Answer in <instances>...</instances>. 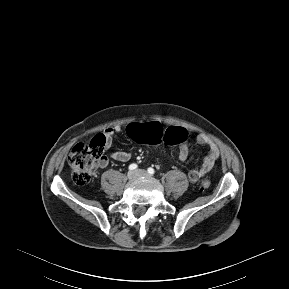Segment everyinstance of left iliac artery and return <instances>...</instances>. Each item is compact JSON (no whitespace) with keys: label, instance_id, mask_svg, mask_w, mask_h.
I'll list each match as a JSON object with an SVG mask.
<instances>
[{"label":"left iliac artery","instance_id":"left-iliac-artery-1","mask_svg":"<svg viewBox=\"0 0 289 289\" xmlns=\"http://www.w3.org/2000/svg\"><path fill=\"white\" fill-rule=\"evenodd\" d=\"M148 173L153 175L155 173V170L153 168H148Z\"/></svg>","mask_w":289,"mask_h":289}]
</instances>
